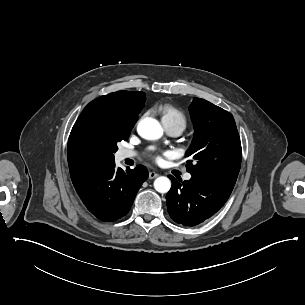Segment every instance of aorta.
Returning <instances> with one entry per match:
<instances>
[{"label":"aorta","instance_id":"1","mask_svg":"<svg viewBox=\"0 0 305 305\" xmlns=\"http://www.w3.org/2000/svg\"><path fill=\"white\" fill-rule=\"evenodd\" d=\"M137 132L146 140H156L163 135L160 123L150 117H146L139 122ZM154 188L159 193H167L171 188V181L165 176H160L155 179Z\"/></svg>","mask_w":305,"mask_h":305}]
</instances>
